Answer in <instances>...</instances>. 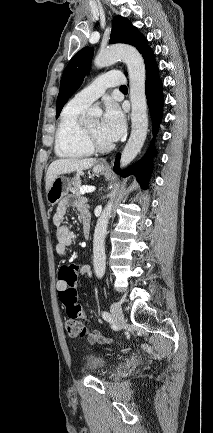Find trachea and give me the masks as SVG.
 Returning <instances> with one entry per match:
<instances>
[{
    "label": "trachea",
    "mask_w": 213,
    "mask_h": 433,
    "mask_svg": "<svg viewBox=\"0 0 213 433\" xmlns=\"http://www.w3.org/2000/svg\"><path fill=\"white\" fill-rule=\"evenodd\" d=\"M120 89H127L125 85L121 86Z\"/></svg>",
    "instance_id": "3493384b"
}]
</instances>
